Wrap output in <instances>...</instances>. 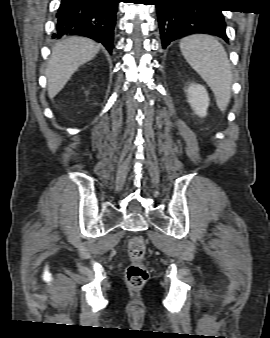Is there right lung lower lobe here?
I'll return each mask as SVG.
<instances>
[{
    "label": "right lung lower lobe",
    "mask_w": 270,
    "mask_h": 338,
    "mask_svg": "<svg viewBox=\"0 0 270 338\" xmlns=\"http://www.w3.org/2000/svg\"><path fill=\"white\" fill-rule=\"evenodd\" d=\"M119 0H61L53 38L80 35L102 43L111 53Z\"/></svg>",
    "instance_id": "obj_1"
}]
</instances>
